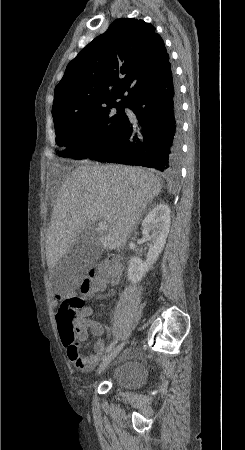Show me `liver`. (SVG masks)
<instances>
[{"mask_svg": "<svg viewBox=\"0 0 245 450\" xmlns=\"http://www.w3.org/2000/svg\"><path fill=\"white\" fill-rule=\"evenodd\" d=\"M162 181L144 169L125 165H82L67 175L56 195L46 233L47 265L53 269L89 224L108 223L100 246L113 250L126 244L147 205L158 196Z\"/></svg>", "mask_w": 245, "mask_h": 450, "instance_id": "obj_1", "label": "liver"}]
</instances>
